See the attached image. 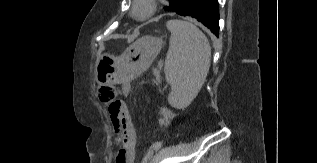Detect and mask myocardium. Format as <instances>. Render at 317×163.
<instances>
[{"label": "myocardium", "instance_id": "myocardium-1", "mask_svg": "<svg viewBox=\"0 0 317 163\" xmlns=\"http://www.w3.org/2000/svg\"><path fill=\"white\" fill-rule=\"evenodd\" d=\"M139 8H143V12L139 13ZM156 11V0H134L131 15L138 21L149 19Z\"/></svg>", "mask_w": 317, "mask_h": 163}]
</instances>
